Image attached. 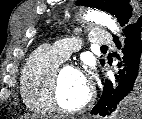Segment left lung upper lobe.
Here are the masks:
<instances>
[{
	"label": "left lung upper lobe",
	"instance_id": "5c2ea615",
	"mask_svg": "<svg viewBox=\"0 0 142 119\" xmlns=\"http://www.w3.org/2000/svg\"><path fill=\"white\" fill-rule=\"evenodd\" d=\"M79 4L105 10L115 15L121 26L126 27L141 17L138 10L129 4V0H79ZM104 64V61H100Z\"/></svg>",
	"mask_w": 142,
	"mask_h": 119
}]
</instances>
